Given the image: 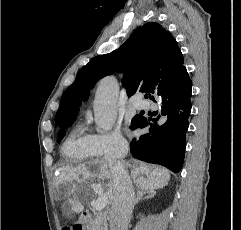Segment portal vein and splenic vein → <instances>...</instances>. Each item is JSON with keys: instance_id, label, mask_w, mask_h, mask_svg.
Listing matches in <instances>:
<instances>
[{"instance_id": "portal-vein-and-splenic-vein-1", "label": "portal vein and splenic vein", "mask_w": 241, "mask_h": 230, "mask_svg": "<svg viewBox=\"0 0 241 230\" xmlns=\"http://www.w3.org/2000/svg\"><path fill=\"white\" fill-rule=\"evenodd\" d=\"M95 191L99 194L98 199L94 202L93 208L94 210L100 212L102 209H104L108 203V197L103 194L100 187H96Z\"/></svg>"}]
</instances>
